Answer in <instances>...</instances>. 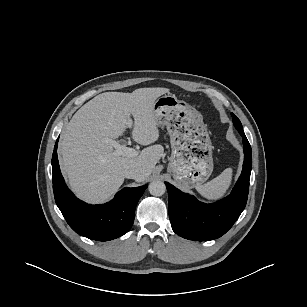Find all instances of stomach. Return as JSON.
<instances>
[{"instance_id":"0dacf381","label":"stomach","mask_w":307,"mask_h":307,"mask_svg":"<svg viewBox=\"0 0 307 307\" xmlns=\"http://www.w3.org/2000/svg\"><path fill=\"white\" fill-rule=\"evenodd\" d=\"M159 126H166L172 154L168 172L186 189L205 183L213 171L212 143L202 115L192 106L168 94L153 105Z\"/></svg>"}]
</instances>
